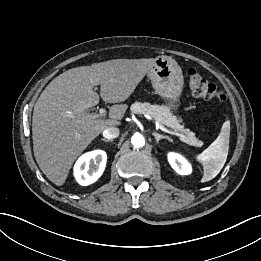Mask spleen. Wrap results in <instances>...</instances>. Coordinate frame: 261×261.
Wrapping results in <instances>:
<instances>
[{
	"label": "spleen",
	"instance_id": "1",
	"mask_svg": "<svg viewBox=\"0 0 261 261\" xmlns=\"http://www.w3.org/2000/svg\"><path fill=\"white\" fill-rule=\"evenodd\" d=\"M229 138L230 121L226 120L217 139L206 150L196 156V159L203 165L202 183L214 179L222 170L228 155Z\"/></svg>",
	"mask_w": 261,
	"mask_h": 261
}]
</instances>
